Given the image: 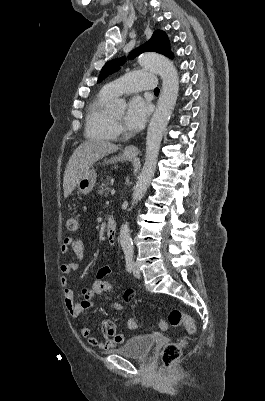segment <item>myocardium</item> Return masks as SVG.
<instances>
[{
    "label": "myocardium",
    "mask_w": 265,
    "mask_h": 401,
    "mask_svg": "<svg viewBox=\"0 0 265 401\" xmlns=\"http://www.w3.org/2000/svg\"><path fill=\"white\" fill-rule=\"evenodd\" d=\"M113 125L117 130L123 128V124L116 122L114 119H113Z\"/></svg>",
    "instance_id": "myocardium-1"
}]
</instances>
